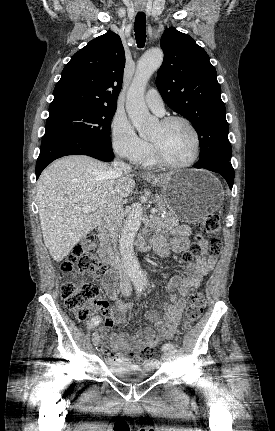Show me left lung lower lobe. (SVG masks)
<instances>
[{
    "label": "left lung lower lobe",
    "mask_w": 275,
    "mask_h": 431,
    "mask_svg": "<svg viewBox=\"0 0 275 431\" xmlns=\"http://www.w3.org/2000/svg\"><path fill=\"white\" fill-rule=\"evenodd\" d=\"M194 168H203L221 174L232 189L234 183V170L230 162H211L208 164L196 163Z\"/></svg>",
    "instance_id": "left-lung-lower-lobe-1"
}]
</instances>
